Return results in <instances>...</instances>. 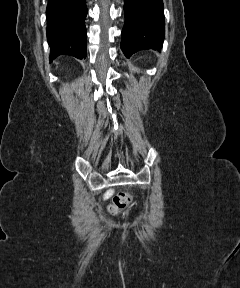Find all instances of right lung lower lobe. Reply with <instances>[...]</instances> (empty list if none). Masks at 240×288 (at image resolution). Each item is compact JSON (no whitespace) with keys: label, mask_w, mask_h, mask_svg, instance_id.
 Here are the masks:
<instances>
[{"label":"right lung lower lobe","mask_w":240,"mask_h":288,"mask_svg":"<svg viewBox=\"0 0 240 288\" xmlns=\"http://www.w3.org/2000/svg\"><path fill=\"white\" fill-rule=\"evenodd\" d=\"M86 0H48L47 40L50 61L59 55L86 58Z\"/></svg>","instance_id":"1"}]
</instances>
